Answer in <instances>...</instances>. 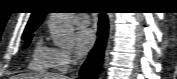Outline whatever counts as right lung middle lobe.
I'll list each match as a JSON object with an SVG mask.
<instances>
[{
    "instance_id": "1",
    "label": "right lung middle lobe",
    "mask_w": 177,
    "mask_h": 79,
    "mask_svg": "<svg viewBox=\"0 0 177 79\" xmlns=\"http://www.w3.org/2000/svg\"><path fill=\"white\" fill-rule=\"evenodd\" d=\"M34 30H35V28L25 30L24 33H23V35H22V38H25V37L28 36L30 33H32ZM31 38H32V36H29V37L27 38L26 43H25V45H24L25 48L28 47V45H29V43H30V41H31Z\"/></svg>"
}]
</instances>
